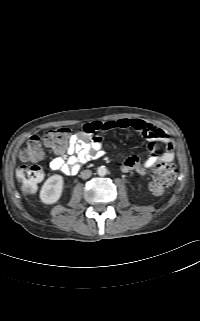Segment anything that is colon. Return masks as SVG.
I'll return each instance as SVG.
<instances>
[{"instance_id": "colon-1", "label": "colon", "mask_w": 200, "mask_h": 321, "mask_svg": "<svg viewBox=\"0 0 200 321\" xmlns=\"http://www.w3.org/2000/svg\"><path fill=\"white\" fill-rule=\"evenodd\" d=\"M70 134L71 132L67 128L52 129L45 133L43 141L53 149L62 150L66 147ZM42 154L41 140L38 136L30 137L20 152L23 161L32 162V164L19 167L16 171L23 191L28 194L34 193L43 179V171L37 164ZM175 178L176 167L173 163V155L168 154L155 168L149 183V191L153 195H161L173 184Z\"/></svg>"}]
</instances>
